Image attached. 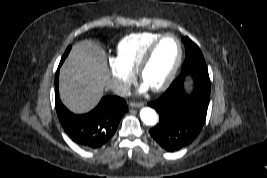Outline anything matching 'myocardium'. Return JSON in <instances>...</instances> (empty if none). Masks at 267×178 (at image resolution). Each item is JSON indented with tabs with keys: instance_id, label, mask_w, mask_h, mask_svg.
Returning <instances> with one entry per match:
<instances>
[{
	"instance_id": "1",
	"label": "myocardium",
	"mask_w": 267,
	"mask_h": 178,
	"mask_svg": "<svg viewBox=\"0 0 267 178\" xmlns=\"http://www.w3.org/2000/svg\"><path fill=\"white\" fill-rule=\"evenodd\" d=\"M167 37H172L176 40L177 44H178V56H177V59H176V62L174 64V66L172 67L169 75L167 76V78L158 86H155V87H152L151 90L154 91V92H161L165 89H167L171 84L172 82L174 81L177 73H178V70L181 66V63H182V60H183V55H184V51H183V45H182V42L181 40L175 35V34H172V33H166V34H163L161 35L159 38H157L156 40H154L149 46L148 48L146 49V51L144 52L143 56L141 57L140 61H139V64H138V68H137V75H138V78L143 81V72L146 68V66L148 65V63L150 62L157 46Z\"/></svg>"
}]
</instances>
